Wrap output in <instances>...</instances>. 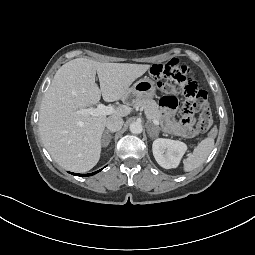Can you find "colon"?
I'll list each match as a JSON object with an SVG mask.
<instances>
[{
    "label": "colon",
    "instance_id": "5ec220e1",
    "mask_svg": "<svg viewBox=\"0 0 255 255\" xmlns=\"http://www.w3.org/2000/svg\"><path fill=\"white\" fill-rule=\"evenodd\" d=\"M150 74L155 80H165L159 85L163 92L168 94H172L177 90L182 92L185 98L184 115L199 112L197 120V129L199 131L206 132L212 127L213 117L208 105L207 93L198 88L193 72L187 65L172 59L165 64L153 65ZM209 134L210 136H215L216 130L211 129Z\"/></svg>",
    "mask_w": 255,
    "mask_h": 255
}]
</instances>
